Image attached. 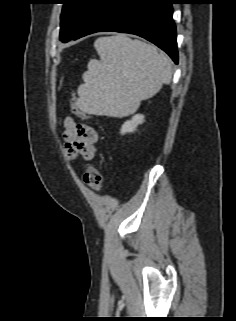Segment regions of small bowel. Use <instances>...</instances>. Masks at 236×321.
Segmentation results:
<instances>
[{
  "mask_svg": "<svg viewBox=\"0 0 236 321\" xmlns=\"http://www.w3.org/2000/svg\"><path fill=\"white\" fill-rule=\"evenodd\" d=\"M63 126V139L68 156L72 158L80 155L85 159L94 158L99 141L96 130L83 122L75 121L71 116L64 118Z\"/></svg>",
  "mask_w": 236,
  "mask_h": 321,
  "instance_id": "obj_1",
  "label": "small bowel"
}]
</instances>
